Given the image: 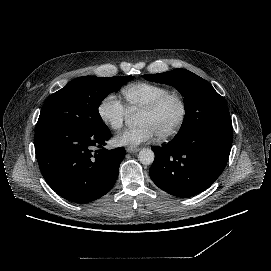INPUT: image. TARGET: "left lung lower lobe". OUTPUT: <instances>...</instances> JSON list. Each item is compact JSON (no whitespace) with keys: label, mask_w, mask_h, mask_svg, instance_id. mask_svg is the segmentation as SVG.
<instances>
[{"label":"left lung lower lobe","mask_w":271,"mask_h":271,"mask_svg":"<svg viewBox=\"0 0 271 271\" xmlns=\"http://www.w3.org/2000/svg\"><path fill=\"white\" fill-rule=\"evenodd\" d=\"M233 140L232 124L208 123L153 147L152 181L177 197H191L209 188L224 170Z\"/></svg>","instance_id":"left-lung-lower-lobe-1"}]
</instances>
